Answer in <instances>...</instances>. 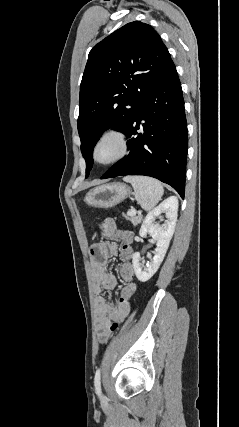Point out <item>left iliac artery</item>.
<instances>
[{
  "mask_svg": "<svg viewBox=\"0 0 239 427\" xmlns=\"http://www.w3.org/2000/svg\"><path fill=\"white\" fill-rule=\"evenodd\" d=\"M94 385H95L96 393L100 396L101 395V372L99 368L96 370V373H95Z\"/></svg>",
  "mask_w": 239,
  "mask_h": 427,
  "instance_id": "1",
  "label": "left iliac artery"
}]
</instances>
